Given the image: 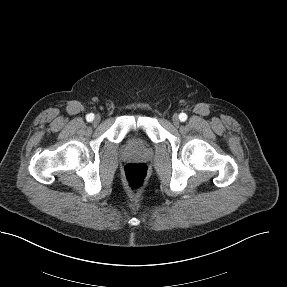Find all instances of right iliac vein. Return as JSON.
Returning a JSON list of instances; mask_svg holds the SVG:
<instances>
[{
  "mask_svg": "<svg viewBox=\"0 0 287 287\" xmlns=\"http://www.w3.org/2000/svg\"><path fill=\"white\" fill-rule=\"evenodd\" d=\"M101 118L99 115H97L95 118H94V125H97L99 122H100Z\"/></svg>",
  "mask_w": 287,
  "mask_h": 287,
  "instance_id": "63e3f726",
  "label": "right iliac vein"
}]
</instances>
